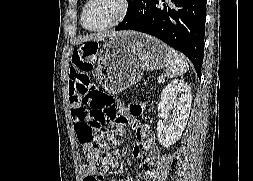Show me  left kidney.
<instances>
[{"label":"left kidney","instance_id":"left-kidney-1","mask_svg":"<svg viewBox=\"0 0 253 181\" xmlns=\"http://www.w3.org/2000/svg\"><path fill=\"white\" fill-rule=\"evenodd\" d=\"M190 86L183 80L170 82L162 91L158 104L160 119L157 122V136L163 147H170L182 135L191 110ZM172 110V114H169ZM169 119V124L164 120Z\"/></svg>","mask_w":253,"mask_h":181}]
</instances>
